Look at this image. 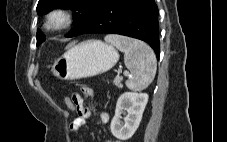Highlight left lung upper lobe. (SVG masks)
Returning a JSON list of instances; mask_svg holds the SVG:
<instances>
[{
  "mask_svg": "<svg viewBox=\"0 0 227 142\" xmlns=\"http://www.w3.org/2000/svg\"><path fill=\"white\" fill-rule=\"evenodd\" d=\"M107 0H39L37 5V13L45 14L54 8H72L75 13V27L70 31L66 37H72L81 27L87 24L96 11ZM37 45L42 43L46 38L38 30L37 31Z\"/></svg>",
  "mask_w": 227,
  "mask_h": 142,
  "instance_id": "obj_1",
  "label": "left lung upper lobe"
}]
</instances>
